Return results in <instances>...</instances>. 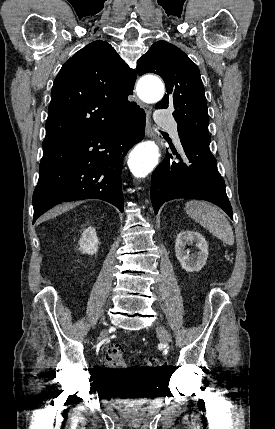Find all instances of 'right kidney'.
I'll use <instances>...</instances> for the list:
<instances>
[{
  "label": "right kidney",
  "instance_id": "ca27d5eb",
  "mask_svg": "<svg viewBox=\"0 0 275 429\" xmlns=\"http://www.w3.org/2000/svg\"><path fill=\"white\" fill-rule=\"evenodd\" d=\"M98 237L96 230L93 227H88L83 230L79 240V250L84 254L93 255L98 250Z\"/></svg>",
  "mask_w": 275,
  "mask_h": 429
}]
</instances>
